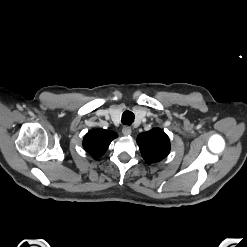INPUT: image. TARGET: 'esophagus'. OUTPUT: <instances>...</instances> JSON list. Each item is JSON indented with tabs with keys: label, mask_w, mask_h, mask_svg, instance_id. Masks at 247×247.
Wrapping results in <instances>:
<instances>
[{
	"label": "esophagus",
	"mask_w": 247,
	"mask_h": 247,
	"mask_svg": "<svg viewBox=\"0 0 247 247\" xmlns=\"http://www.w3.org/2000/svg\"><path fill=\"white\" fill-rule=\"evenodd\" d=\"M122 133L124 136H129L132 134V129L129 126H124L122 129Z\"/></svg>",
	"instance_id": "obj_1"
}]
</instances>
